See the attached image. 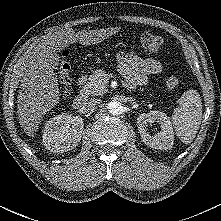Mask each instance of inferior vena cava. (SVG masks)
I'll return each instance as SVG.
<instances>
[{"instance_id": "602c4592", "label": "inferior vena cava", "mask_w": 221, "mask_h": 221, "mask_svg": "<svg viewBox=\"0 0 221 221\" xmlns=\"http://www.w3.org/2000/svg\"><path fill=\"white\" fill-rule=\"evenodd\" d=\"M101 103L100 99L91 98L87 102L83 104L82 110L84 112H89L97 108V106Z\"/></svg>"}]
</instances>
